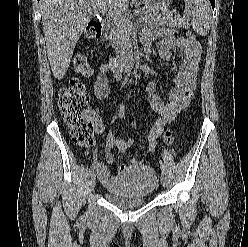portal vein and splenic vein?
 I'll list each match as a JSON object with an SVG mask.
<instances>
[{
  "label": "portal vein and splenic vein",
  "mask_w": 248,
  "mask_h": 247,
  "mask_svg": "<svg viewBox=\"0 0 248 247\" xmlns=\"http://www.w3.org/2000/svg\"><path fill=\"white\" fill-rule=\"evenodd\" d=\"M103 11L106 12V10H103ZM135 12H136V13H139V9H138V10H135ZM109 15H111V16H120L121 14H119V13H114V12L109 11Z\"/></svg>",
  "instance_id": "18ae733b"
}]
</instances>
